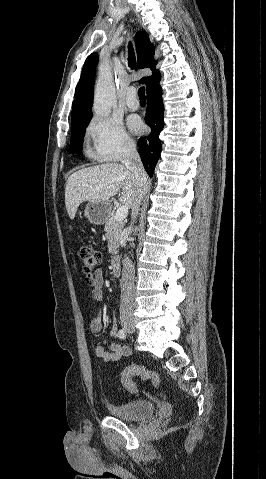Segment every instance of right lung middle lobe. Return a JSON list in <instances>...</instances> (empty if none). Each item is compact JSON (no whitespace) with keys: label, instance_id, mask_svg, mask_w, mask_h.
Segmentation results:
<instances>
[{"label":"right lung middle lobe","instance_id":"1","mask_svg":"<svg viewBox=\"0 0 266 479\" xmlns=\"http://www.w3.org/2000/svg\"><path fill=\"white\" fill-rule=\"evenodd\" d=\"M92 117H88L71 123V141L70 152L80 154L86 127L88 126Z\"/></svg>","mask_w":266,"mask_h":479}]
</instances>
